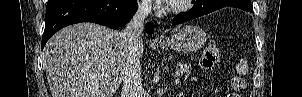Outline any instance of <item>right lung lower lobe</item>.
Here are the masks:
<instances>
[{
	"label": "right lung lower lobe",
	"instance_id": "98d812e1",
	"mask_svg": "<svg viewBox=\"0 0 302 97\" xmlns=\"http://www.w3.org/2000/svg\"><path fill=\"white\" fill-rule=\"evenodd\" d=\"M137 11L136 0H48L41 49L59 29L79 23L94 22L117 29L128 23ZM152 34V23L146 25Z\"/></svg>",
	"mask_w": 302,
	"mask_h": 97
}]
</instances>
